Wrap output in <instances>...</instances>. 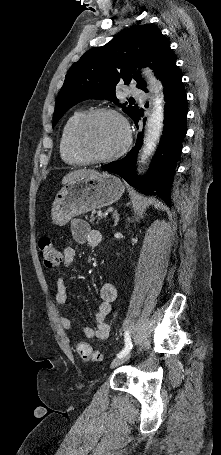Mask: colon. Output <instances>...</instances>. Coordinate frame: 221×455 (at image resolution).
<instances>
[{"instance_id": "colon-1", "label": "colon", "mask_w": 221, "mask_h": 455, "mask_svg": "<svg viewBox=\"0 0 221 455\" xmlns=\"http://www.w3.org/2000/svg\"><path fill=\"white\" fill-rule=\"evenodd\" d=\"M41 255L44 263L48 267H54L62 262L60 252L55 248L52 240L49 237H43L39 243ZM76 352L84 361H97L101 359V355L94 351L92 347L86 342H78L75 345Z\"/></svg>"}]
</instances>
